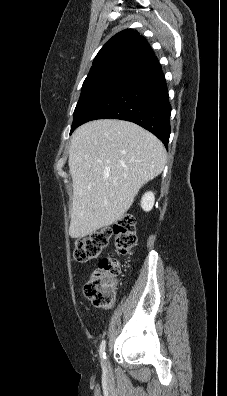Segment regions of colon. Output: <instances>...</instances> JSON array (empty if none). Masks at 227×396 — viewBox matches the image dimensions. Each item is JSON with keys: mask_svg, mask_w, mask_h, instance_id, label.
<instances>
[{"mask_svg": "<svg viewBox=\"0 0 227 396\" xmlns=\"http://www.w3.org/2000/svg\"><path fill=\"white\" fill-rule=\"evenodd\" d=\"M111 235H114L116 252L121 255L128 254L136 243L134 218L130 215L123 216L111 230L102 229L77 241L74 250L75 259L86 262L96 258L108 246ZM120 270L119 260L109 255L103 258L98 268L90 274L84 292L95 306L110 309L114 305L115 284Z\"/></svg>", "mask_w": 227, "mask_h": 396, "instance_id": "5ec220e1", "label": "colon"}]
</instances>
